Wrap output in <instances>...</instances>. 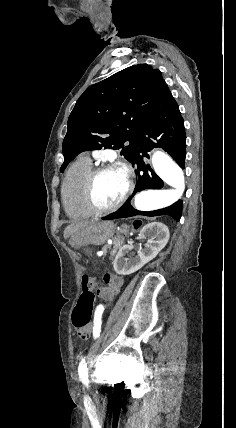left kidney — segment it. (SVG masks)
Returning a JSON list of instances; mask_svg holds the SVG:
<instances>
[{
	"instance_id": "obj_1",
	"label": "left kidney",
	"mask_w": 236,
	"mask_h": 428,
	"mask_svg": "<svg viewBox=\"0 0 236 428\" xmlns=\"http://www.w3.org/2000/svg\"><path fill=\"white\" fill-rule=\"evenodd\" d=\"M141 240H147V244H144L145 248H141L137 252V256H129L124 258L126 254H129L132 250V246H122L120 248L114 262L113 268L116 274H123V276H129L134 274L137 270H140L144 264L156 258L157 254L165 248L169 240V230L165 224L161 222H153V224H147L139 234Z\"/></svg>"
}]
</instances>
